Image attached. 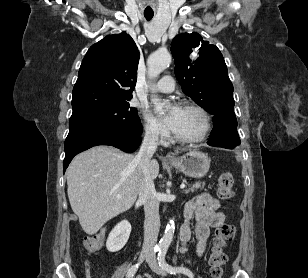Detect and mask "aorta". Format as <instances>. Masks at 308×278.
Returning a JSON list of instances; mask_svg holds the SVG:
<instances>
[{
    "label": "aorta",
    "instance_id": "1",
    "mask_svg": "<svg viewBox=\"0 0 308 278\" xmlns=\"http://www.w3.org/2000/svg\"><path fill=\"white\" fill-rule=\"evenodd\" d=\"M171 63V55L167 51H157L153 53L147 62L148 75L151 78L157 77L162 71H164ZM152 101L157 102V98H153ZM175 230V223L173 219L169 221L166 226L163 237L159 242L160 250H167L170 246Z\"/></svg>",
    "mask_w": 308,
    "mask_h": 278
}]
</instances>
